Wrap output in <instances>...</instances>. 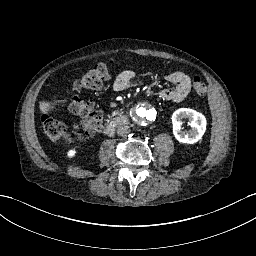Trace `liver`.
<instances>
[{"label":"liver","mask_w":256,"mask_h":256,"mask_svg":"<svg viewBox=\"0 0 256 256\" xmlns=\"http://www.w3.org/2000/svg\"><path fill=\"white\" fill-rule=\"evenodd\" d=\"M39 107L42 113H47L50 108V104L48 102H40Z\"/></svg>","instance_id":"liver-1"}]
</instances>
